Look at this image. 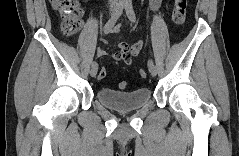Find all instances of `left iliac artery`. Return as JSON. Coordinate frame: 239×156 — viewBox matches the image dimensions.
I'll return each instance as SVG.
<instances>
[{
    "label": "left iliac artery",
    "instance_id": "1",
    "mask_svg": "<svg viewBox=\"0 0 239 156\" xmlns=\"http://www.w3.org/2000/svg\"><path fill=\"white\" fill-rule=\"evenodd\" d=\"M125 11H126V14H127V17L129 18V20L131 22H136V15H135V12H134V9H133V5L131 2H127L125 4ZM154 65V62L152 59H149L148 60V66H153Z\"/></svg>",
    "mask_w": 239,
    "mask_h": 156
}]
</instances>
